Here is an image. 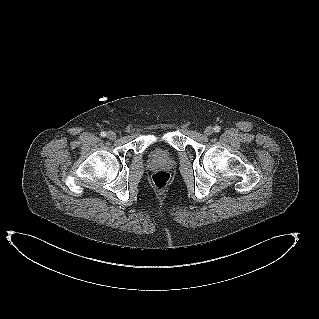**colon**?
Masks as SVG:
<instances>
[{"instance_id":"1","label":"colon","mask_w":319,"mask_h":319,"mask_svg":"<svg viewBox=\"0 0 319 319\" xmlns=\"http://www.w3.org/2000/svg\"><path fill=\"white\" fill-rule=\"evenodd\" d=\"M170 179H171L170 173L165 170L156 171L152 175L153 185L160 190L165 189L167 187V185L170 182Z\"/></svg>"}]
</instances>
